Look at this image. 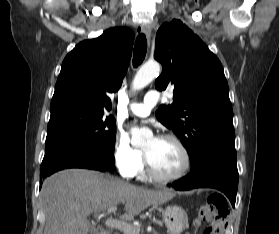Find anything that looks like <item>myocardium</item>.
Here are the masks:
<instances>
[{"label": "myocardium", "instance_id": "f54148a6", "mask_svg": "<svg viewBox=\"0 0 279 234\" xmlns=\"http://www.w3.org/2000/svg\"><path fill=\"white\" fill-rule=\"evenodd\" d=\"M157 139L168 140V141L175 143L182 152L184 163H183L182 168L180 169V171L177 174H175L173 176H163V175L158 174L155 171V169L153 168V166L151 164V161L149 159L147 152L143 151L144 165H145V170H146L147 175L152 180L159 182V183H163V184H172L177 181H180L188 174V172L190 171V168H191L192 160H191V155H190V152H189L187 146L184 144V142L180 138H178L175 135H171V134L161 135Z\"/></svg>", "mask_w": 279, "mask_h": 234}]
</instances>
